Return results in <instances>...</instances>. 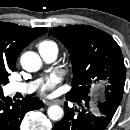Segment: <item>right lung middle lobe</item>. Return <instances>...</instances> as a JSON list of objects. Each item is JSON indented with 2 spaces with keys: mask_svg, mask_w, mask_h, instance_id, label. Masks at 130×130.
Masks as SVG:
<instances>
[{
  "mask_svg": "<svg viewBox=\"0 0 130 130\" xmlns=\"http://www.w3.org/2000/svg\"><path fill=\"white\" fill-rule=\"evenodd\" d=\"M9 70L0 66V91L2 90V86L8 83Z\"/></svg>",
  "mask_w": 130,
  "mask_h": 130,
  "instance_id": "obj_1",
  "label": "right lung middle lobe"
}]
</instances>
